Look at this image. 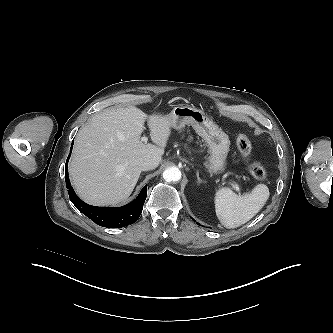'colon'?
I'll use <instances>...</instances> for the list:
<instances>
[{
	"mask_svg": "<svg viewBox=\"0 0 333 333\" xmlns=\"http://www.w3.org/2000/svg\"><path fill=\"white\" fill-rule=\"evenodd\" d=\"M237 147L243 158L248 159L250 157L252 153V145L245 134L240 133L237 136ZM248 169L250 174L257 180H263L266 177V169L260 163H250Z\"/></svg>",
	"mask_w": 333,
	"mask_h": 333,
	"instance_id": "colon-1",
	"label": "colon"
}]
</instances>
